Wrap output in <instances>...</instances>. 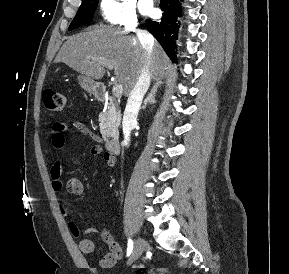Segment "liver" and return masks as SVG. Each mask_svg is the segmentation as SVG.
I'll list each match as a JSON object with an SVG mask.
<instances>
[{"instance_id": "obj_1", "label": "liver", "mask_w": 289, "mask_h": 274, "mask_svg": "<svg viewBox=\"0 0 289 274\" xmlns=\"http://www.w3.org/2000/svg\"><path fill=\"white\" fill-rule=\"evenodd\" d=\"M55 63L63 62L77 72L100 80L108 64H113L117 81L130 95L142 69L148 68L151 79L161 82L169 67V58L155 42L148 59L138 38L114 30H87L67 38Z\"/></svg>"}]
</instances>
